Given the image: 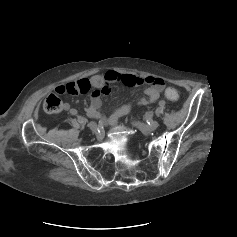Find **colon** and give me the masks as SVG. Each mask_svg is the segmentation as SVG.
<instances>
[{
    "label": "colon",
    "mask_w": 237,
    "mask_h": 237,
    "mask_svg": "<svg viewBox=\"0 0 237 237\" xmlns=\"http://www.w3.org/2000/svg\"><path fill=\"white\" fill-rule=\"evenodd\" d=\"M165 97L171 103H176L180 98V92L174 87L165 90ZM43 108L49 114H56L62 109V102L55 94H50L44 101Z\"/></svg>",
    "instance_id": "obj_1"
}]
</instances>
